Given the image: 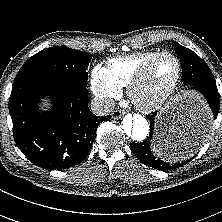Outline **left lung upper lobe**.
Masks as SVG:
<instances>
[{"label": "left lung upper lobe", "mask_w": 222, "mask_h": 222, "mask_svg": "<svg viewBox=\"0 0 222 222\" xmlns=\"http://www.w3.org/2000/svg\"><path fill=\"white\" fill-rule=\"evenodd\" d=\"M172 43H173L176 53L178 54L180 62L187 61L190 64H195L198 67L199 74L196 75L197 77H195L194 81L201 84H205V85L216 86V81L209 67L195 52H193L192 50L186 47H183L176 41H172ZM182 81L185 84L184 75H183ZM156 163H157V166H164L163 163L159 160Z\"/></svg>", "instance_id": "1"}]
</instances>
